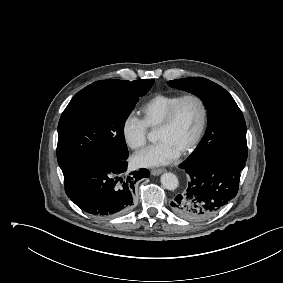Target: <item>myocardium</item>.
<instances>
[{"label": "myocardium", "mask_w": 283, "mask_h": 283, "mask_svg": "<svg viewBox=\"0 0 283 283\" xmlns=\"http://www.w3.org/2000/svg\"><path fill=\"white\" fill-rule=\"evenodd\" d=\"M190 99L195 100L198 103L200 107V111H201V117H200V123H199L195 136L193 137L191 142L181 151L182 154H187L193 151L199 144L205 132L207 121H208V108H207V105L204 99L201 96L194 94V93H189V94H185L181 96L169 109L168 113L166 114L165 119L158 127V130L169 129L174 124V121L176 119L177 113L181 105L185 101L190 100Z\"/></svg>", "instance_id": "myocardium-1"}]
</instances>
